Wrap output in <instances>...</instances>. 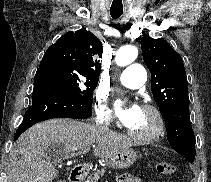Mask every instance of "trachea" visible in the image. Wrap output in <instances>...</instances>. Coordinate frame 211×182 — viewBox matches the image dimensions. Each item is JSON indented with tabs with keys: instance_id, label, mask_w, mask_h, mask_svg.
I'll return each mask as SVG.
<instances>
[{
	"instance_id": "1",
	"label": "trachea",
	"mask_w": 211,
	"mask_h": 182,
	"mask_svg": "<svg viewBox=\"0 0 211 182\" xmlns=\"http://www.w3.org/2000/svg\"><path fill=\"white\" fill-rule=\"evenodd\" d=\"M123 11L110 10V15L113 19H118L122 15Z\"/></svg>"
}]
</instances>
